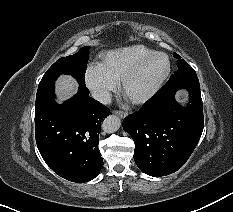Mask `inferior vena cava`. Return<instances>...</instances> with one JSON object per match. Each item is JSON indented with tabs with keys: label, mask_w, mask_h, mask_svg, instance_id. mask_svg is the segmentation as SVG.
I'll list each match as a JSON object with an SVG mask.
<instances>
[{
	"label": "inferior vena cava",
	"mask_w": 233,
	"mask_h": 212,
	"mask_svg": "<svg viewBox=\"0 0 233 212\" xmlns=\"http://www.w3.org/2000/svg\"><path fill=\"white\" fill-rule=\"evenodd\" d=\"M92 97L102 104H110L112 101L111 95L107 90H94Z\"/></svg>",
	"instance_id": "602c4592"
}]
</instances>
